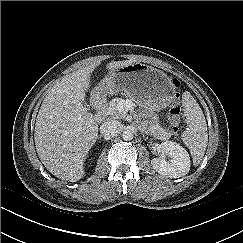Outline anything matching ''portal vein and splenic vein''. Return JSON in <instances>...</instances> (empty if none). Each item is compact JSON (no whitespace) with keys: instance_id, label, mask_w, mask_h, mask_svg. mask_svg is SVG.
Here are the masks:
<instances>
[{"instance_id":"obj_1","label":"portal vein and splenic vein","mask_w":243,"mask_h":243,"mask_svg":"<svg viewBox=\"0 0 243 243\" xmlns=\"http://www.w3.org/2000/svg\"><path fill=\"white\" fill-rule=\"evenodd\" d=\"M132 107V103L129 100H126L123 103H120L118 109L121 111H128Z\"/></svg>"}]
</instances>
